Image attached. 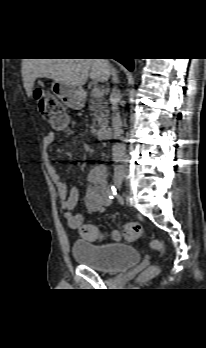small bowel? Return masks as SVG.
Listing matches in <instances>:
<instances>
[{
    "label": "small bowel",
    "mask_w": 206,
    "mask_h": 348,
    "mask_svg": "<svg viewBox=\"0 0 206 348\" xmlns=\"http://www.w3.org/2000/svg\"><path fill=\"white\" fill-rule=\"evenodd\" d=\"M54 138L55 135L53 132L45 134L42 139L43 146L48 149L52 145ZM47 170L56 185L61 208L71 228H80L84 223L86 215L100 214L110 205L111 200L107 193L106 172L102 166H93L88 173V186L84 199V214L73 212L78 200L77 188L72 187L69 189L53 165L48 164Z\"/></svg>",
    "instance_id": "small-bowel-1"
}]
</instances>
